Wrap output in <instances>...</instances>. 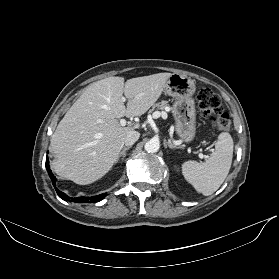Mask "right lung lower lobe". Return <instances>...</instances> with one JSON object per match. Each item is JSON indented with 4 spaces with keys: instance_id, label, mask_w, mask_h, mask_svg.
<instances>
[{
    "instance_id": "obj_1",
    "label": "right lung lower lobe",
    "mask_w": 279,
    "mask_h": 279,
    "mask_svg": "<svg viewBox=\"0 0 279 279\" xmlns=\"http://www.w3.org/2000/svg\"><path fill=\"white\" fill-rule=\"evenodd\" d=\"M46 169L48 171V174L52 180V184L54 185V188L58 194V196L60 198H62L63 200H69V201H73V202H78V203H95V202H99L102 199L105 198L106 194H100L94 197H78V198H70L68 197L65 193L59 191L55 186H56V178L55 176L52 174L50 168H49V160L48 158H46Z\"/></svg>"
}]
</instances>
